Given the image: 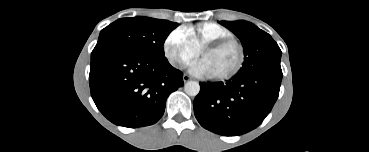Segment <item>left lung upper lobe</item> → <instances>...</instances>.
Segmentation results:
<instances>
[{"label":"left lung upper lobe","mask_w":369,"mask_h":152,"mask_svg":"<svg viewBox=\"0 0 369 152\" xmlns=\"http://www.w3.org/2000/svg\"><path fill=\"white\" fill-rule=\"evenodd\" d=\"M242 42L244 63L237 75L247 76L258 72L282 73L281 50L272 37L254 24L239 21H219Z\"/></svg>","instance_id":"5c2ea615"}]
</instances>
